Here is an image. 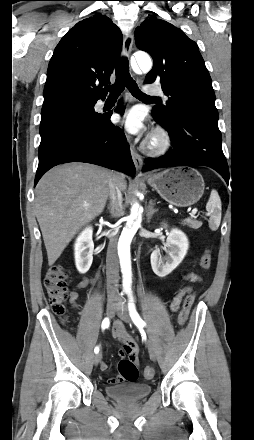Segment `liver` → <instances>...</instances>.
I'll list each match as a JSON object with an SVG mask.
<instances>
[{
	"label": "liver",
	"mask_w": 254,
	"mask_h": 440,
	"mask_svg": "<svg viewBox=\"0 0 254 440\" xmlns=\"http://www.w3.org/2000/svg\"><path fill=\"white\" fill-rule=\"evenodd\" d=\"M115 178L125 191V176L86 163H68L49 170L35 189V212L52 266L74 235L103 211L109 184ZM88 205V206H86Z\"/></svg>",
	"instance_id": "1"
}]
</instances>
